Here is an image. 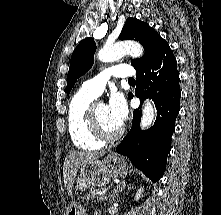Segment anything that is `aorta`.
<instances>
[{
	"mask_svg": "<svg viewBox=\"0 0 221 215\" xmlns=\"http://www.w3.org/2000/svg\"><path fill=\"white\" fill-rule=\"evenodd\" d=\"M143 54V47L137 42H119L112 46H105L98 52V59L102 62H113L121 59L125 55L138 58ZM155 117V107L151 101L146 100L143 105L141 128L147 129L152 124Z\"/></svg>",
	"mask_w": 221,
	"mask_h": 215,
	"instance_id": "aorta-1",
	"label": "aorta"
}]
</instances>
